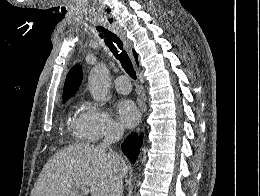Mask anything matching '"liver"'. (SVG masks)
Listing matches in <instances>:
<instances>
[{"label":"liver","instance_id":"1","mask_svg":"<svg viewBox=\"0 0 260 196\" xmlns=\"http://www.w3.org/2000/svg\"><path fill=\"white\" fill-rule=\"evenodd\" d=\"M114 156L92 144L59 150L46 162L30 196H79L78 186H88L91 196H110L116 180L127 174L125 162H115Z\"/></svg>","mask_w":260,"mask_h":196}]
</instances>
